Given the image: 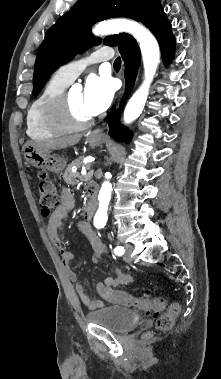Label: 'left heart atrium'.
Returning a JSON list of instances; mask_svg holds the SVG:
<instances>
[{"instance_id": "39dd6f15", "label": "left heart atrium", "mask_w": 221, "mask_h": 379, "mask_svg": "<svg viewBox=\"0 0 221 379\" xmlns=\"http://www.w3.org/2000/svg\"><path fill=\"white\" fill-rule=\"evenodd\" d=\"M114 85L106 76L90 75L83 91V107L90 116L105 111L112 102Z\"/></svg>"}]
</instances>
